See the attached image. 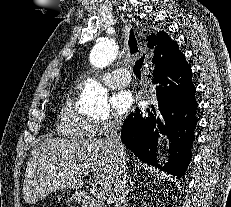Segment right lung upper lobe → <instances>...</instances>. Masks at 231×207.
I'll return each mask as SVG.
<instances>
[{"label": "right lung upper lobe", "instance_id": "1", "mask_svg": "<svg viewBox=\"0 0 231 207\" xmlns=\"http://www.w3.org/2000/svg\"><path fill=\"white\" fill-rule=\"evenodd\" d=\"M148 39V46L152 45L155 47L154 58L152 60L156 61L157 58L163 57L165 60H176L179 57H185L178 49V45L175 41H171L169 36L165 32H159L157 35L152 34Z\"/></svg>", "mask_w": 231, "mask_h": 207}]
</instances>
